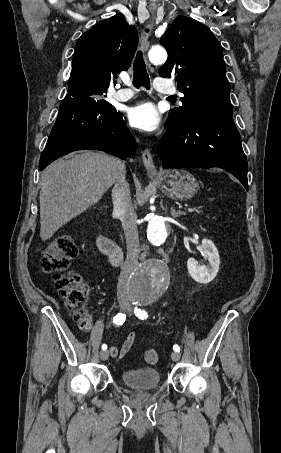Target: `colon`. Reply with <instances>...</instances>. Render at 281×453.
<instances>
[{
    "label": "colon",
    "instance_id": "5ec220e1",
    "mask_svg": "<svg viewBox=\"0 0 281 453\" xmlns=\"http://www.w3.org/2000/svg\"><path fill=\"white\" fill-rule=\"evenodd\" d=\"M82 254V250L71 238H55L44 246L42 267L55 276L57 287L69 307L81 316V327L89 326L85 298L88 285L70 271L69 260ZM142 359L146 363H159L160 355L154 349H143Z\"/></svg>",
    "mask_w": 281,
    "mask_h": 453
}]
</instances>
